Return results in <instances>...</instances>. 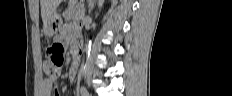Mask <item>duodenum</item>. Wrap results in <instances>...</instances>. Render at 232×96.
Wrapping results in <instances>:
<instances>
[{
    "label": "duodenum",
    "instance_id": "1",
    "mask_svg": "<svg viewBox=\"0 0 232 96\" xmlns=\"http://www.w3.org/2000/svg\"><path fill=\"white\" fill-rule=\"evenodd\" d=\"M80 54H81V52L79 50H77L75 52L76 58H78ZM74 65H76V61L74 62Z\"/></svg>",
    "mask_w": 232,
    "mask_h": 96
}]
</instances>
